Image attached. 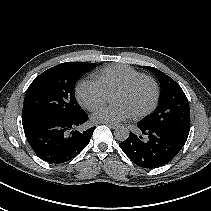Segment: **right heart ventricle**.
Listing matches in <instances>:
<instances>
[{
  "label": "right heart ventricle",
  "mask_w": 211,
  "mask_h": 211,
  "mask_svg": "<svg viewBox=\"0 0 211 211\" xmlns=\"http://www.w3.org/2000/svg\"><path fill=\"white\" fill-rule=\"evenodd\" d=\"M144 75L142 72L127 65H112L100 70L96 78L102 83L107 92L116 90L126 82Z\"/></svg>",
  "instance_id": "right-heart-ventricle-1"
}]
</instances>
